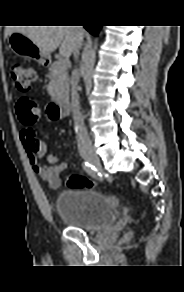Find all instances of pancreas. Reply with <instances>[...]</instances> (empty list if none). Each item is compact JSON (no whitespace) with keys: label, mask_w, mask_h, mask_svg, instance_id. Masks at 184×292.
Returning <instances> with one entry per match:
<instances>
[{"label":"pancreas","mask_w":184,"mask_h":292,"mask_svg":"<svg viewBox=\"0 0 184 292\" xmlns=\"http://www.w3.org/2000/svg\"><path fill=\"white\" fill-rule=\"evenodd\" d=\"M50 82L47 90L52 99H62L69 93L67 66H63L59 61L53 62L49 68Z\"/></svg>","instance_id":"1"}]
</instances>
